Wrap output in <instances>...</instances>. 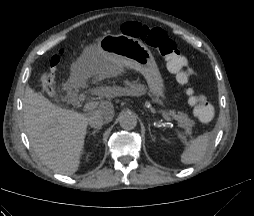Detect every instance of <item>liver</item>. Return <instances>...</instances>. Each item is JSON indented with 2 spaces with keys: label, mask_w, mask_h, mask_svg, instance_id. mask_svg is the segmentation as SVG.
<instances>
[{
  "label": "liver",
  "mask_w": 254,
  "mask_h": 216,
  "mask_svg": "<svg viewBox=\"0 0 254 216\" xmlns=\"http://www.w3.org/2000/svg\"><path fill=\"white\" fill-rule=\"evenodd\" d=\"M123 72L124 66L119 59H108L92 74L77 70L74 63L71 67V78L80 84H85L91 77L101 80L117 77ZM104 94L107 99L103 100L96 110L81 114L61 108L43 95L35 93L31 88H26L23 99L26 134L43 164L65 175H72L78 170L89 117L99 113L111 121L114 116L111 102L114 90L110 89Z\"/></svg>",
  "instance_id": "liver-1"
}]
</instances>
